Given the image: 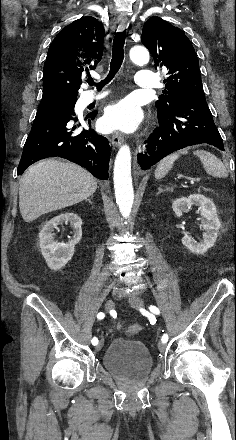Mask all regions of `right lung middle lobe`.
Masks as SVG:
<instances>
[{
    "label": "right lung middle lobe",
    "instance_id": "obj_1",
    "mask_svg": "<svg viewBox=\"0 0 236 440\" xmlns=\"http://www.w3.org/2000/svg\"><path fill=\"white\" fill-rule=\"evenodd\" d=\"M75 102H71V103H66V104H62V105H67V104H74Z\"/></svg>",
    "mask_w": 236,
    "mask_h": 440
}]
</instances>
